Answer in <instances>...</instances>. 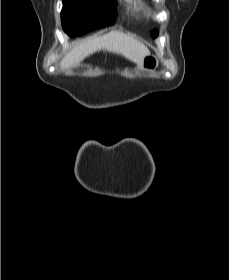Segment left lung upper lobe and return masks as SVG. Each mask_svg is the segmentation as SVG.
<instances>
[{
    "mask_svg": "<svg viewBox=\"0 0 229 280\" xmlns=\"http://www.w3.org/2000/svg\"><path fill=\"white\" fill-rule=\"evenodd\" d=\"M151 36H152L153 38H156V37L158 36V31H157V30H152V31H151Z\"/></svg>",
    "mask_w": 229,
    "mask_h": 280,
    "instance_id": "obj_1",
    "label": "left lung upper lobe"
}]
</instances>
